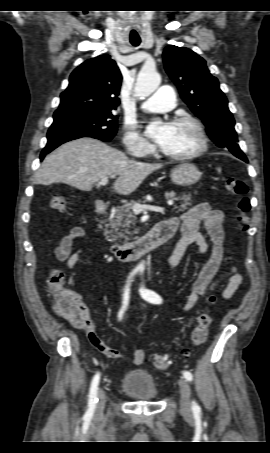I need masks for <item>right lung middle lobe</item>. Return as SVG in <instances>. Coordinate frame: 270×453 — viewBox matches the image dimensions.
<instances>
[{
  "instance_id": "1",
  "label": "right lung middle lobe",
  "mask_w": 270,
  "mask_h": 453,
  "mask_svg": "<svg viewBox=\"0 0 270 453\" xmlns=\"http://www.w3.org/2000/svg\"><path fill=\"white\" fill-rule=\"evenodd\" d=\"M117 118L111 111H86L54 117L47 138L73 140L92 137L109 141L117 132Z\"/></svg>"
}]
</instances>
